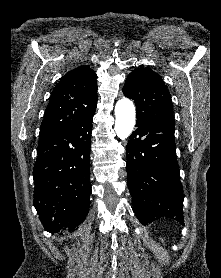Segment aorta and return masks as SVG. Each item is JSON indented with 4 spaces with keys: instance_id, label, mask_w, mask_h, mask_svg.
Masks as SVG:
<instances>
[{
    "instance_id": "obj_1",
    "label": "aorta",
    "mask_w": 221,
    "mask_h": 278,
    "mask_svg": "<svg viewBox=\"0 0 221 278\" xmlns=\"http://www.w3.org/2000/svg\"><path fill=\"white\" fill-rule=\"evenodd\" d=\"M115 132L120 139H125L133 131L135 125L136 112L132 101L123 98L115 106Z\"/></svg>"
}]
</instances>
